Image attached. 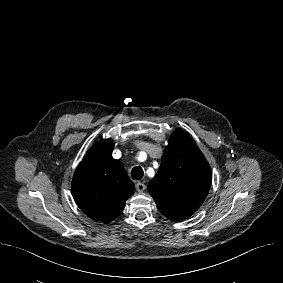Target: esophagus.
<instances>
[{
    "mask_svg": "<svg viewBox=\"0 0 283 283\" xmlns=\"http://www.w3.org/2000/svg\"><path fill=\"white\" fill-rule=\"evenodd\" d=\"M136 189L138 192H143L146 189V185L142 182L136 184Z\"/></svg>",
    "mask_w": 283,
    "mask_h": 283,
    "instance_id": "1",
    "label": "esophagus"
}]
</instances>
